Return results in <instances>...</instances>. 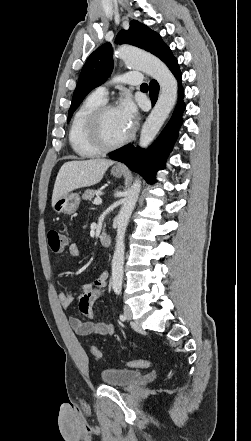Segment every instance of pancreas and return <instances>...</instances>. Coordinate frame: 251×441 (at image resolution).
Wrapping results in <instances>:
<instances>
[{
  "instance_id": "cf45deb5",
  "label": "pancreas",
  "mask_w": 251,
  "mask_h": 441,
  "mask_svg": "<svg viewBox=\"0 0 251 441\" xmlns=\"http://www.w3.org/2000/svg\"><path fill=\"white\" fill-rule=\"evenodd\" d=\"M98 191L94 190V189H87L83 195H82V199L84 200H92V198L94 197L95 194H97Z\"/></svg>"
}]
</instances>
